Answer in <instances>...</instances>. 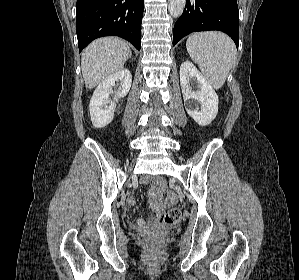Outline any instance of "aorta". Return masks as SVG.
I'll list each match as a JSON object with an SVG mask.
<instances>
[{
  "mask_svg": "<svg viewBox=\"0 0 299 280\" xmlns=\"http://www.w3.org/2000/svg\"><path fill=\"white\" fill-rule=\"evenodd\" d=\"M185 4L186 0H169V14L174 18L181 16L185 8Z\"/></svg>",
  "mask_w": 299,
  "mask_h": 280,
  "instance_id": "1",
  "label": "aorta"
}]
</instances>
